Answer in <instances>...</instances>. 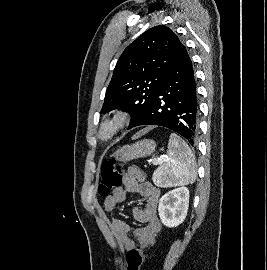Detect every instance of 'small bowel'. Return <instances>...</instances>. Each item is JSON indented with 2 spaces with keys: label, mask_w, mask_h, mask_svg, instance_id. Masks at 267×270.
<instances>
[{
  "label": "small bowel",
  "mask_w": 267,
  "mask_h": 270,
  "mask_svg": "<svg viewBox=\"0 0 267 270\" xmlns=\"http://www.w3.org/2000/svg\"><path fill=\"white\" fill-rule=\"evenodd\" d=\"M127 193H137L144 199L143 207L133 208V216L142 226L132 228L124 220L113 218L111 220V229L117 242L127 252L136 246L131 235L138 238V244L145 250L154 243L155 237L161 228L157 215L159 190L146 181L137 168L131 167L124 175L123 188L117 189L106 197L104 201L105 210L108 212L115 211L117 206L125 201Z\"/></svg>",
  "instance_id": "small-bowel-1"
}]
</instances>
